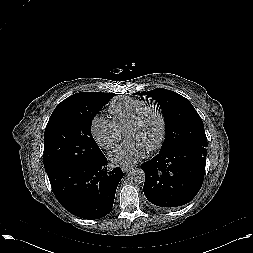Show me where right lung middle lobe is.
Instances as JSON below:
<instances>
[{
  "label": "right lung middle lobe",
  "mask_w": 253,
  "mask_h": 253,
  "mask_svg": "<svg viewBox=\"0 0 253 253\" xmlns=\"http://www.w3.org/2000/svg\"><path fill=\"white\" fill-rule=\"evenodd\" d=\"M93 92L84 98L59 104L44 134V167L51 172L98 158L102 152L91 134L93 118L114 96Z\"/></svg>",
  "instance_id": "right-lung-middle-lobe-1"
}]
</instances>
